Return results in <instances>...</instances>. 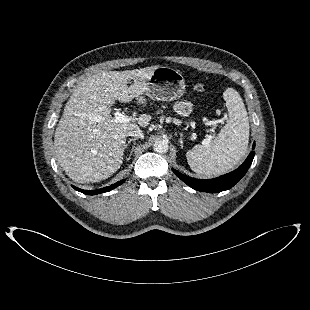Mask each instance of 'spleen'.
Segmentation results:
<instances>
[{
    "label": "spleen",
    "instance_id": "3e777b00",
    "mask_svg": "<svg viewBox=\"0 0 310 310\" xmlns=\"http://www.w3.org/2000/svg\"><path fill=\"white\" fill-rule=\"evenodd\" d=\"M229 120L213 141L195 145L186 153L191 169L203 175L228 172L243 158L249 142V119L241 96L233 88L223 93Z\"/></svg>",
    "mask_w": 310,
    "mask_h": 310
}]
</instances>
